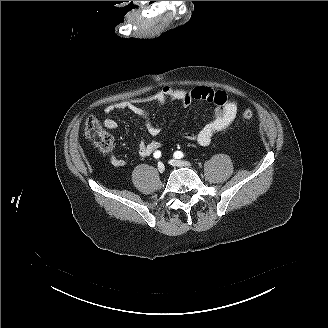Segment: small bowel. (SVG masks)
I'll list each match as a JSON object with an SVG mask.
<instances>
[{"label":"small bowel","instance_id":"1","mask_svg":"<svg viewBox=\"0 0 328 328\" xmlns=\"http://www.w3.org/2000/svg\"><path fill=\"white\" fill-rule=\"evenodd\" d=\"M167 100L180 102L184 106L190 105L192 101L200 100L215 106L213 118L207 124L198 132H185L183 135L186 140L196 141L200 146H208L216 133L226 130L233 123L238 112L237 103L228 99L226 93L213 91L204 87L191 90L165 87L150 97L123 100L109 104L105 107L104 111L107 114L121 110L130 111L144 119L146 131L151 136H158L161 133V128L152 122L150 114L143 107V104L150 101L164 103ZM103 124L107 129H115L118 126L117 121L113 118H105ZM160 147L161 143L155 139L148 142H141L138 146V154L141 157H148ZM106 152L110 154V162L114 167H123L126 165V160L116 156L111 149Z\"/></svg>","mask_w":328,"mask_h":328}]
</instances>
